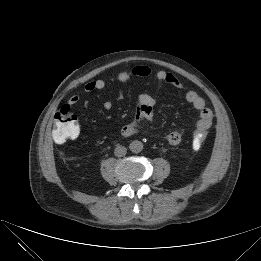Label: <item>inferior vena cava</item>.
I'll list each match as a JSON object with an SVG mask.
<instances>
[{
	"mask_svg": "<svg viewBox=\"0 0 261 261\" xmlns=\"http://www.w3.org/2000/svg\"><path fill=\"white\" fill-rule=\"evenodd\" d=\"M127 153V149L124 146H117L114 150V154L117 157H122Z\"/></svg>",
	"mask_w": 261,
	"mask_h": 261,
	"instance_id": "inferior-vena-cava-1",
	"label": "inferior vena cava"
}]
</instances>
